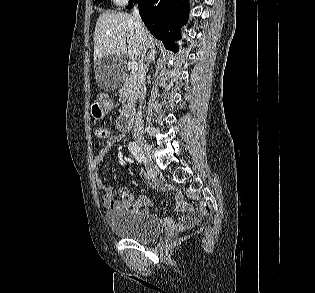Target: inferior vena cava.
Returning <instances> with one entry per match:
<instances>
[{
    "mask_svg": "<svg viewBox=\"0 0 315 293\" xmlns=\"http://www.w3.org/2000/svg\"><path fill=\"white\" fill-rule=\"evenodd\" d=\"M132 14L135 19V29H136L137 41L139 44V52H140L139 69L137 72V81H138L139 99H140V103H142L146 94V90L144 87V81L146 77V65H145L146 49L144 46V26L136 7H134ZM141 109H142V105L140 104V110L137 112L135 116V123H134V128H133L134 134H141L143 130V120H142Z\"/></svg>",
    "mask_w": 315,
    "mask_h": 293,
    "instance_id": "1",
    "label": "inferior vena cava"
}]
</instances>
